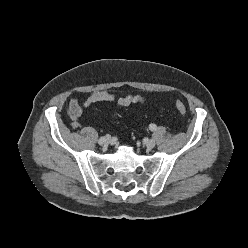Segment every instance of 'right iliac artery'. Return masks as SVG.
Segmentation results:
<instances>
[{"mask_svg":"<svg viewBox=\"0 0 248 248\" xmlns=\"http://www.w3.org/2000/svg\"><path fill=\"white\" fill-rule=\"evenodd\" d=\"M104 140H105V136H104V135H101V136H100V139L97 140L98 145H99V146H102Z\"/></svg>","mask_w":248,"mask_h":248,"instance_id":"82829eb1","label":"right iliac artery"}]
</instances>
